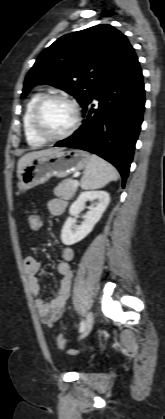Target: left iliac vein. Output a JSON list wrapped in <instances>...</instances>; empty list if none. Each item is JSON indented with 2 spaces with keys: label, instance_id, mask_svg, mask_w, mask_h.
<instances>
[{
  "label": "left iliac vein",
  "instance_id": "4c4485c4",
  "mask_svg": "<svg viewBox=\"0 0 165 419\" xmlns=\"http://www.w3.org/2000/svg\"><path fill=\"white\" fill-rule=\"evenodd\" d=\"M93 323H94L93 313L88 312V314L86 316V321H85V324H84V330L82 331L80 339H83L84 337H86L90 333V331L93 327Z\"/></svg>",
  "mask_w": 165,
  "mask_h": 419
}]
</instances>
